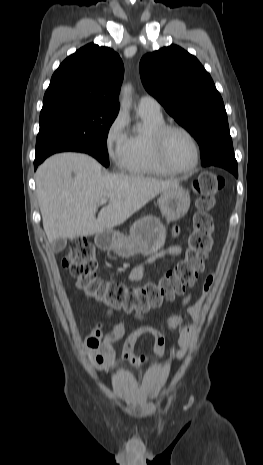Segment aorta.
I'll list each match as a JSON object with an SVG mask.
<instances>
[{"mask_svg": "<svg viewBox=\"0 0 263 465\" xmlns=\"http://www.w3.org/2000/svg\"><path fill=\"white\" fill-rule=\"evenodd\" d=\"M131 86L130 85H125L122 88V100H121V105L124 107H129L130 106V94H131Z\"/></svg>", "mask_w": 263, "mask_h": 465, "instance_id": "obj_1", "label": "aorta"}]
</instances>
